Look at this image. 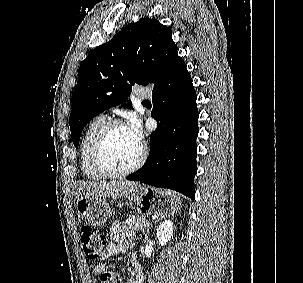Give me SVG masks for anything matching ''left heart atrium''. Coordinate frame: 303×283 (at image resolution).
Instances as JSON below:
<instances>
[{
  "mask_svg": "<svg viewBox=\"0 0 303 283\" xmlns=\"http://www.w3.org/2000/svg\"><path fill=\"white\" fill-rule=\"evenodd\" d=\"M131 134V136L133 137V139L140 145H142L143 142V132L141 129V126L139 124V122L135 119L132 118L130 120V123L128 124V126H126Z\"/></svg>",
  "mask_w": 303,
  "mask_h": 283,
  "instance_id": "left-heart-atrium-1",
  "label": "left heart atrium"
}]
</instances>
